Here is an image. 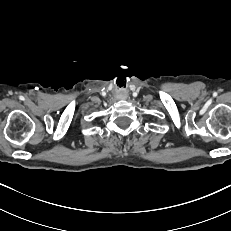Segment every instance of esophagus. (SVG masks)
Segmentation results:
<instances>
[{
  "label": "esophagus",
  "mask_w": 231,
  "mask_h": 231,
  "mask_svg": "<svg viewBox=\"0 0 231 231\" xmlns=\"http://www.w3.org/2000/svg\"><path fill=\"white\" fill-rule=\"evenodd\" d=\"M122 97H123V98H125V97H126V95H123Z\"/></svg>",
  "instance_id": "esophagus-1"
}]
</instances>
